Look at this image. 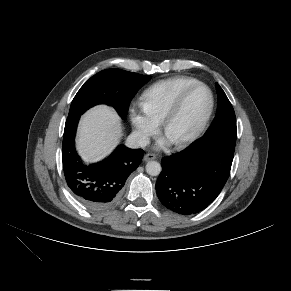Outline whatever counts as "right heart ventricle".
Listing matches in <instances>:
<instances>
[{
  "label": "right heart ventricle",
  "instance_id": "obj_1",
  "mask_svg": "<svg viewBox=\"0 0 291 291\" xmlns=\"http://www.w3.org/2000/svg\"><path fill=\"white\" fill-rule=\"evenodd\" d=\"M199 81L189 76H175L149 86L141 95V107L160 123L180 93Z\"/></svg>",
  "mask_w": 291,
  "mask_h": 291
}]
</instances>
